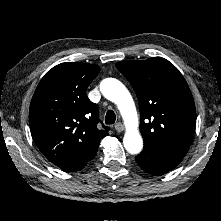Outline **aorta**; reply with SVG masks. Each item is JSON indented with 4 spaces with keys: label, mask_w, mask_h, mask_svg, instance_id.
Masks as SVG:
<instances>
[{
    "label": "aorta",
    "mask_w": 221,
    "mask_h": 221,
    "mask_svg": "<svg viewBox=\"0 0 221 221\" xmlns=\"http://www.w3.org/2000/svg\"><path fill=\"white\" fill-rule=\"evenodd\" d=\"M100 91L105 98L118 106L125 121L126 132L123 138L125 149L131 154H138L143 148V139L138 130L136 107L128 89L119 80L106 78L100 84Z\"/></svg>",
    "instance_id": "762f6f07"
}]
</instances>
